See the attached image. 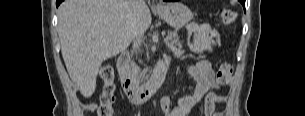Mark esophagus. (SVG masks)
Masks as SVG:
<instances>
[{
	"instance_id": "esophagus-1",
	"label": "esophagus",
	"mask_w": 305,
	"mask_h": 116,
	"mask_svg": "<svg viewBox=\"0 0 305 116\" xmlns=\"http://www.w3.org/2000/svg\"><path fill=\"white\" fill-rule=\"evenodd\" d=\"M153 8L157 9L160 7V4H158L157 2H154L152 5Z\"/></svg>"
}]
</instances>
